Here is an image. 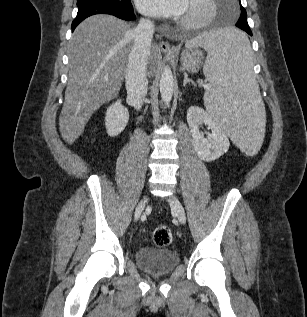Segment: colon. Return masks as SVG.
I'll list each match as a JSON object with an SVG mask.
<instances>
[{
  "mask_svg": "<svg viewBox=\"0 0 307 317\" xmlns=\"http://www.w3.org/2000/svg\"><path fill=\"white\" fill-rule=\"evenodd\" d=\"M152 239L157 247L164 248L172 243L173 234L168 226L159 225L154 229Z\"/></svg>",
  "mask_w": 307,
  "mask_h": 317,
  "instance_id": "obj_1",
  "label": "colon"
}]
</instances>
